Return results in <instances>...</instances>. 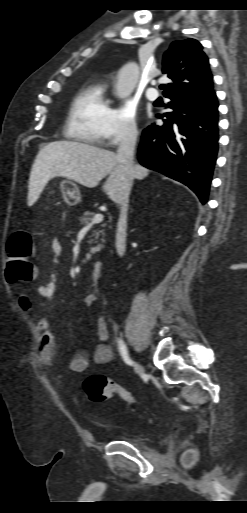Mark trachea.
<instances>
[{
	"label": "trachea",
	"instance_id": "1",
	"mask_svg": "<svg viewBox=\"0 0 247 513\" xmlns=\"http://www.w3.org/2000/svg\"><path fill=\"white\" fill-rule=\"evenodd\" d=\"M163 88H164V85H161V86H160V89H163Z\"/></svg>",
	"mask_w": 247,
	"mask_h": 513
}]
</instances>
